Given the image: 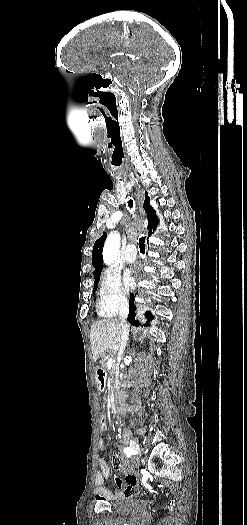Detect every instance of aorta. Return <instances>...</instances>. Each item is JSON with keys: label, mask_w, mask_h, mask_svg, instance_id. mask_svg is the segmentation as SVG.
<instances>
[{"label": "aorta", "mask_w": 247, "mask_h": 525, "mask_svg": "<svg viewBox=\"0 0 247 525\" xmlns=\"http://www.w3.org/2000/svg\"><path fill=\"white\" fill-rule=\"evenodd\" d=\"M120 235L117 232L110 233L103 248V261L106 265H113L119 254Z\"/></svg>", "instance_id": "762f6f07"}]
</instances>
